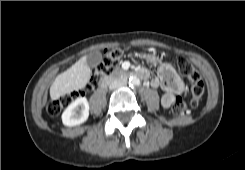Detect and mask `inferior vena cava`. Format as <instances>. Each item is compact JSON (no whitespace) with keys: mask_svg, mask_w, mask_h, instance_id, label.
<instances>
[{"mask_svg":"<svg viewBox=\"0 0 245 170\" xmlns=\"http://www.w3.org/2000/svg\"><path fill=\"white\" fill-rule=\"evenodd\" d=\"M127 84V78L125 77H122V78H119V79H116L114 81H112L109 85V89L110 90H114V89H117V88H120V87H123Z\"/></svg>","mask_w":245,"mask_h":170,"instance_id":"602c4592","label":"inferior vena cava"}]
</instances>
